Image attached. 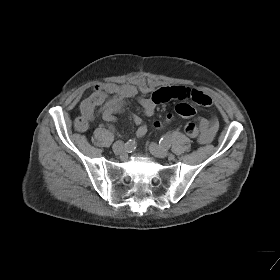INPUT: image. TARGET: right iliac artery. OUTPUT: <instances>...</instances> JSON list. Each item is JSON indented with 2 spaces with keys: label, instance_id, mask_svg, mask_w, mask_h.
Returning a JSON list of instances; mask_svg holds the SVG:
<instances>
[{
  "label": "right iliac artery",
  "instance_id": "obj_1",
  "mask_svg": "<svg viewBox=\"0 0 280 280\" xmlns=\"http://www.w3.org/2000/svg\"><path fill=\"white\" fill-rule=\"evenodd\" d=\"M125 150H126V152H129V153H131V152H133L135 149H136V146H137V143H136V141L135 140H129V141H127L126 143H125Z\"/></svg>",
  "mask_w": 280,
  "mask_h": 280
}]
</instances>
